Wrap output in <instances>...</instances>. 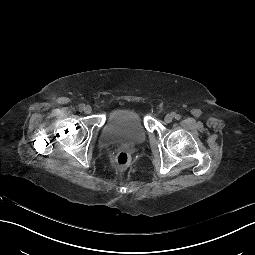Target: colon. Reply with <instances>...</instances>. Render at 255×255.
Here are the masks:
<instances>
[{"label": "colon", "mask_w": 255, "mask_h": 255, "mask_svg": "<svg viewBox=\"0 0 255 255\" xmlns=\"http://www.w3.org/2000/svg\"><path fill=\"white\" fill-rule=\"evenodd\" d=\"M115 162L118 167L125 168L130 163V156L125 151H120L115 156Z\"/></svg>", "instance_id": "1"}]
</instances>
